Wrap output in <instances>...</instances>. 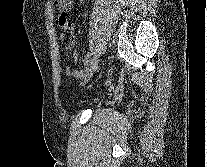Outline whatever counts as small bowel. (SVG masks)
Segmentation results:
<instances>
[{"label":"small bowel","instance_id":"obj_1","mask_svg":"<svg viewBox=\"0 0 207 167\" xmlns=\"http://www.w3.org/2000/svg\"><path fill=\"white\" fill-rule=\"evenodd\" d=\"M74 3H75V0H58V7L63 12V15H61L59 18V24L61 25V27H63L66 31H68L70 33L69 39L65 43V48L67 50L73 49V47L75 45L76 37H75V27H74L73 23H71L68 20V18L64 15V13L68 10H71ZM59 36H60V39H62V40L65 39V34L63 32L60 33ZM72 58H73L74 63L77 65L79 62V58H80L79 54L74 51L72 53ZM81 58H82V61L85 63V61L87 59V55H83ZM64 71L67 76H70L75 79H81L85 76L84 72L82 70L78 69L77 66L74 68L67 66V67H65Z\"/></svg>","mask_w":207,"mask_h":167}]
</instances>
